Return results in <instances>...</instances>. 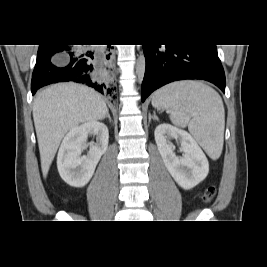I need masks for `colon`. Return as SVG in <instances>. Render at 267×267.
<instances>
[{"mask_svg":"<svg viewBox=\"0 0 267 267\" xmlns=\"http://www.w3.org/2000/svg\"><path fill=\"white\" fill-rule=\"evenodd\" d=\"M214 195H215V188L209 187L204 194V201L205 202L211 201L213 199Z\"/></svg>","mask_w":267,"mask_h":267,"instance_id":"1","label":"colon"}]
</instances>
